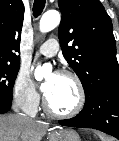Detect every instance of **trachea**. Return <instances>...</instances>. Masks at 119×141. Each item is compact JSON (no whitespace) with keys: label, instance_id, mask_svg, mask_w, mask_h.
Here are the masks:
<instances>
[{"label":"trachea","instance_id":"1","mask_svg":"<svg viewBox=\"0 0 119 141\" xmlns=\"http://www.w3.org/2000/svg\"><path fill=\"white\" fill-rule=\"evenodd\" d=\"M45 7V0H35L33 5V15L38 17Z\"/></svg>","mask_w":119,"mask_h":141}]
</instances>
